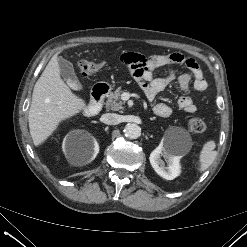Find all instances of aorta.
I'll return each mask as SVG.
<instances>
[{
    "mask_svg": "<svg viewBox=\"0 0 247 247\" xmlns=\"http://www.w3.org/2000/svg\"><path fill=\"white\" fill-rule=\"evenodd\" d=\"M124 135L129 139H136L141 135V128L139 125L129 123L124 127Z\"/></svg>",
    "mask_w": 247,
    "mask_h": 247,
    "instance_id": "obj_1",
    "label": "aorta"
}]
</instances>
